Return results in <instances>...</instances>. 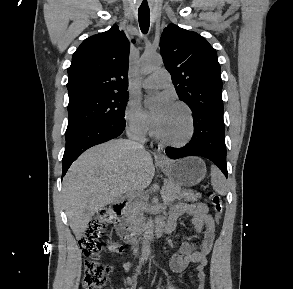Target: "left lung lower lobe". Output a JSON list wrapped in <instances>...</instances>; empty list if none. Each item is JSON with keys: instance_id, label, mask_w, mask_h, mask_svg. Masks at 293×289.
Here are the masks:
<instances>
[{"instance_id": "1", "label": "left lung lower lobe", "mask_w": 293, "mask_h": 289, "mask_svg": "<svg viewBox=\"0 0 293 289\" xmlns=\"http://www.w3.org/2000/svg\"><path fill=\"white\" fill-rule=\"evenodd\" d=\"M194 134L183 148H167L171 159L186 156H202L215 163L227 177L226 146L224 140L223 113L200 109L193 112Z\"/></svg>"}]
</instances>
